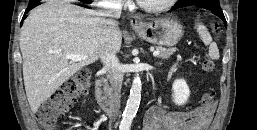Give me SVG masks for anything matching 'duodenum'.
I'll return each mask as SVG.
<instances>
[{"mask_svg": "<svg viewBox=\"0 0 257 130\" xmlns=\"http://www.w3.org/2000/svg\"><path fill=\"white\" fill-rule=\"evenodd\" d=\"M96 97L103 109L110 115L114 112L113 95L105 78L100 77L96 81Z\"/></svg>", "mask_w": 257, "mask_h": 130, "instance_id": "obj_1", "label": "duodenum"}]
</instances>
